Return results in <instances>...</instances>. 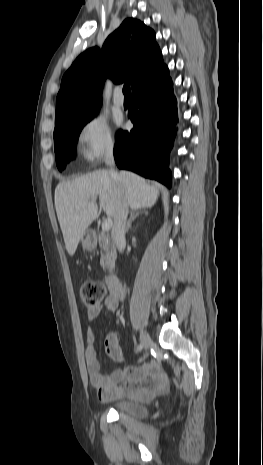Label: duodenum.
Returning <instances> with one entry per match:
<instances>
[{"label":"duodenum","instance_id":"410a0bca","mask_svg":"<svg viewBox=\"0 0 263 465\" xmlns=\"http://www.w3.org/2000/svg\"><path fill=\"white\" fill-rule=\"evenodd\" d=\"M107 283H108L111 293L115 297L121 298L122 297V286H121L119 278L116 275L111 274L108 277Z\"/></svg>","mask_w":263,"mask_h":465}]
</instances>
